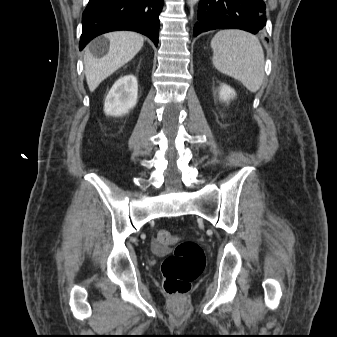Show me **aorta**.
Wrapping results in <instances>:
<instances>
[{
    "instance_id": "1",
    "label": "aorta",
    "mask_w": 337,
    "mask_h": 337,
    "mask_svg": "<svg viewBox=\"0 0 337 337\" xmlns=\"http://www.w3.org/2000/svg\"><path fill=\"white\" fill-rule=\"evenodd\" d=\"M198 1H199V0H188V3H189L190 5H194V4H196Z\"/></svg>"
}]
</instances>
